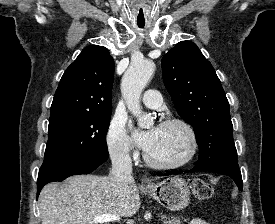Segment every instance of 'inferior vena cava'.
Listing matches in <instances>:
<instances>
[{
	"label": "inferior vena cava",
	"mask_w": 275,
	"mask_h": 224,
	"mask_svg": "<svg viewBox=\"0 0 275 224\" xmlns=\"http://www.w3.org/2000/svg\"><path fill=\"white\" fill-rule=\"evenodd\" d=\"M112 161V175L121 187L134 182L132 174V160L128 149H118L110 152Z\"/></svg>",
	"instance_id": "inferior-vena-cava-1"
}]
</instances>
